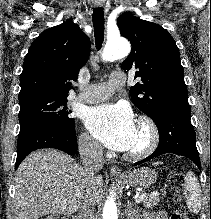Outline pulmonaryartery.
Masks as SVG:
<instances>
[{"mask_svg": "<svg viewBox=\"0 0 211 219\" xmlns=\"http://www.w3.org/2000/svg\"><path fill=\"white\" fill-rule=\"evenodd\" d=\"M125 81V73L114 71L110 75L109 82L89 85L86 90L77 97V100L86 104L104 101L110 97L115 89L122 87Z\"/></svg>", "mask_w": 211, "mask_h": 219, "instance_id": "obj_1", "label": "pulmonary artery"}]
</instances>
